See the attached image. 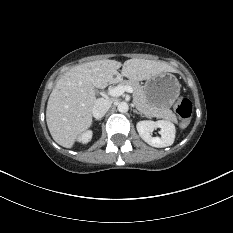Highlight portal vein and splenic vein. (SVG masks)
<instances>
[{"label":"portal vein and splenic vein","instance_id":"18ae733b","mask_svg":"<svg viewBox=\"0 0 233 233\" xmlns=\"http://www.w3.org/2000/svg\"><path fill=\"white\" fill-rule=\"evenodd\" d=\"M124 92L133 93V89L129 86H117L109 90V95L112 97L121 96Z\"/></svg>","mask_w":233,"mask_h":233}]
</instances>
